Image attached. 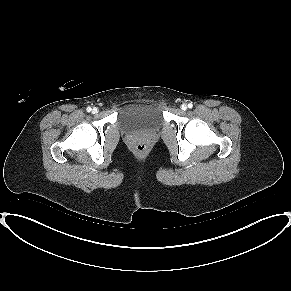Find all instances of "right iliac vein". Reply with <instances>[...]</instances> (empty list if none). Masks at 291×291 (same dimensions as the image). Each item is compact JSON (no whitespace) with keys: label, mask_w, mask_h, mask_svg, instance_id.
<instances>
[{"label":"right iliac vein","mask_w":291,"mask_h":291,"mask_svg":"<svg viewBox=\"0 0 291 291\" xmlns=\"http://www.w3.org/2000/svg\"><path fill=\"white\" fill-rule=\"evenodd\" d=\"M92 113H93V114L98 113V109H97V108H93Z\"/></svg>","instance_id":"right-iliac-vein-1"}]
</instances>
